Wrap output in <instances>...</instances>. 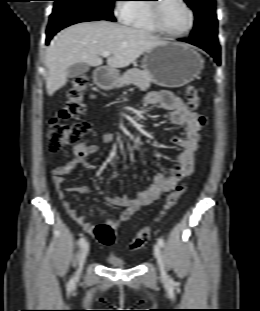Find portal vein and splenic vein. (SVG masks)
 I'll list each match as a JSON object with an SVG mask.
<instances>
[{"mask_svg":"<svg viewBox=\"0 0 260 311\" xmlns=\"http://www.w3.org/2000/svg\"><path fill=\"white\" fill-rule=\"evenodd\" d=\"M111 55L110 52H104L102 53V57H109Z\"/></svg>","mask_w":260,"mask_h":311,"instance_id":"portal-vein-and-splenic-vein-1","label":"portal vein and splenic vein"}]
</instances>
